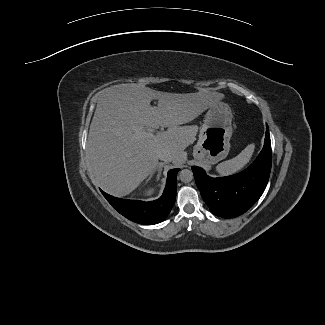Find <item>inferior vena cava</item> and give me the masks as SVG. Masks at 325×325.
Instances as JSON below:
<instances>
[{
    "label": "inferior vena cava",
    "instance_id": "obj_1",
    "mask_svg": "<svg viewBox=\"0 0 325 325\" xmlns=\"http://www.w3.org/2000/svg\"><path fill=\"white\" fill-rule=\"evenodd\" d=\"M158 158L165 162H170L173 160L174 156L170 151L162 150L158 154Z\"/></svg>",
    "mask_w": 325,
    "mask_h": 325
}]
</instances>
